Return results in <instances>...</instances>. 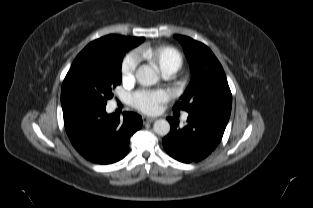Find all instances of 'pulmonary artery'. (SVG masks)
Returning a JSON list of instances; mask_svg holds the SVG:
<instances>
[{
    "instance_id": "obj_1",
    "label": "pulmonary artery",
    "mask_w": 313,
    "mask_h": 208,
    "mask_svg": "<svg viewBox=\"0 0 313 208\" xmlns=\"http://www.w3.org/2000/svg\"><path fill=\"white\" fill-rule=\"evenodd\" d=\"M175 74V72L173 71H168V72H165V73H162L163 77L165 79H170L173 75ZM188 117V114H184L183 115V119L186 120Z\"/></svg>"
}]
</instances>
